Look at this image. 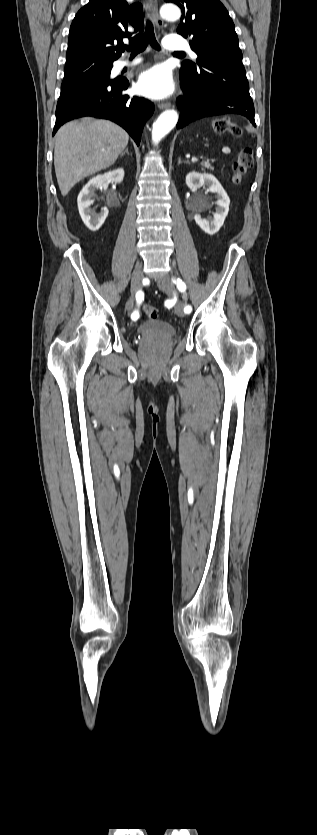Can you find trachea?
Wrapping results in <instances>:
<instances>
[{
	"instance_id": "1",
	"label": "trachea",
	"mask_w": 317,
	"mask_h": 835,
	"mask_svg": "<svg viewBox=\"0 0 317 835\" xmlns=\"http://www.w3.org/2000/svg\"><path fill=\"white\" fill-rule=\"evenodd\" d=\"M148 44H150L152 48H154L156 50H160V46L156 41L153 25H152L151 21H149V20L146 22V31L141 36L139 41L137 43H134L131 46H125V49L128 52H131L132 56H135V55L139 54L140 52L144 51L146 49V47L148 46ZM174 54L183 55L184 53L174 52Z\"/></svg>"
}]
</instances>
